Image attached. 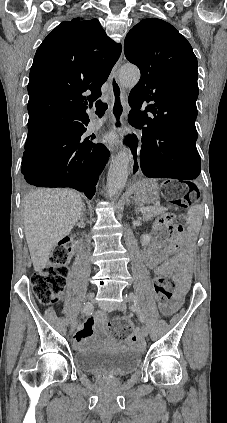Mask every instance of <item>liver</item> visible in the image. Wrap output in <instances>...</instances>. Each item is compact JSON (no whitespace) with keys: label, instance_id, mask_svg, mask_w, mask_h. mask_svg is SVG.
<instances>
[{"label":"liver","instance_id":"1","mask_svg":"<svg viewBox=\"0 0 227 423\" xmlns=\"http://www.w3.org/2000/svg\"><path fill=\"white\" fill-rule=\"evenodd\" d=\"M83 210L75 190L47 188L24 196L23 225L35 271L44 269L58 241L71 233Z\"/></svg>","mask_w":227,"mask_h":423}]
</instances>
